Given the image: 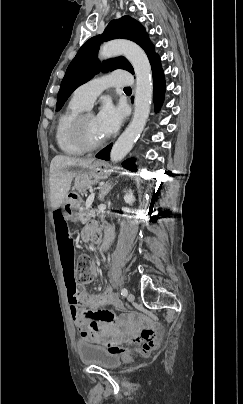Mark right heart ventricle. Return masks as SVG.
I'll return each mask as SVG.
<instances>
[{"mask_svg": "<svg viewBox=\"0 0 243 404\" xmlns=\"http://www.w3.org/2000/svg\"><path fill=\"white\" fill-rule=\"evenodd\" d=\"M78 96L79 91L77 88L66 107L59 114L54 128V140L58 150L62 154L72 157L82 156L87 152L73 140L69 132L71 122L87 109Z\"/></svg>", "mask_w": 243, "mask_h": 404, "instance_id": "1", "label": "right heart ventricle"}]
</instances>
